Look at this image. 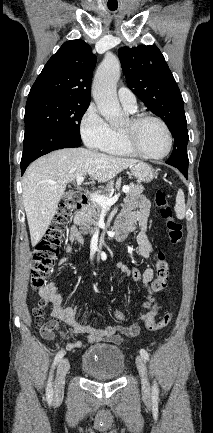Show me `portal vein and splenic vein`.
Returning <instances> with one entry per match:
<instances>
[{
  "label": "portal vein and splenic vein",
  "instance_id": "portal-vein-and-splenic-vein-1",
  "mask_svg": "<svg viewBox=\"0 0 213 433\" xmlns=\"http://www.w3.org/2000/svg\"><path fill=\"white\" fill-rule=\"evenodd\" d=\"M83 181H84L83 176H79L76 178L77 185H81L83 183ZM129 190H130L129 186H123L122 187L123 193H128ZM119 196H120V193L115 194L113 197H106V196L101 195V194L90 193V198L93 201L100 204L103 208H108V207L112 206L113 204H115L117 202Z\"/></svg>",
  "mask_w": 213,
  "mask_h": 433
}]
</instances>
